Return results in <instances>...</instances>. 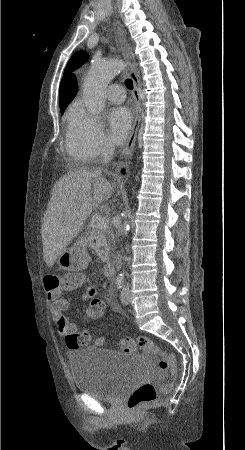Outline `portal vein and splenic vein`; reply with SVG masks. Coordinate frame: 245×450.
<instances>
[{
    "label": "portal vein and splenic vein",
    "instance_id": "18ae733b",
    "mask_svg": "<svg viewBox=\"0 0 245 450\" xmlns=\"http://www.w3.org/2000/svg\"><path fill=\"white\" fill-rule=\"evenodd\" d=\"M95 226L99 229H107L108 221L105 217H99L95 222Z\"/></svg>",
    "mask_w": 245,
    "mask_h": 450
}]
</instances>
